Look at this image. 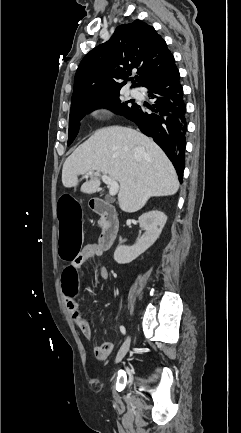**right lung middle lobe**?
Wrapping results in <instances>:
<instances>
[{
  "label": "right lung middle lobe",
  "mask_w": 241,
  "mask_h": 433,
  "mask_svg": "<svg viewBox=\"0 0 241 433\" xmlns=\"http://www.w3.org/2000/svg\"><path fill=\"white\" fill-rule=\"evenodd\" d=\"M119 95V93H116L102 98L79 101L71 105L68 146L74 141L83 117L96 108L108 107L113 112L122 116H126L130 113L136 104L130 101L122 102L119 99Z\"/></svg>",
  "instance_id": "dd1d6c3e"
}]
</instances>
